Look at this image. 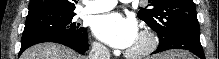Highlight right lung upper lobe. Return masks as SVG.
I'll return each mask as SVG.
<instances>
[{"label":"right lung upper lobe","instance_id":"1","mask_svg":"<svg viewBox=\"0 0 219 59\" xmlns=\"http://www.w3.org/2000/svg\"><path fill=\"white\" fill-rule=\"evenodd\" d=\"M76 3V0H31L28 13L39 10L73 12Z\"/></svg>","mask_w":219,"mask_h":59}]
</instances>
